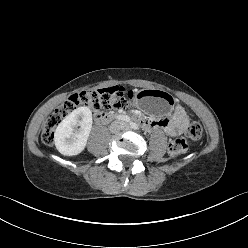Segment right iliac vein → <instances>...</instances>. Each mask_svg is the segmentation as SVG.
Returning <instances> with one entry per match:
<instances>
[{"label":"right iliac vein","instance_id":"right-iliac-vein-1","mask_svg":"<svg viewBox=\"0 0 248 248\" xmlns=\"http://www.w3.org/2000/svg\"><path fill=\"white\" fill-rule=\"evenodd\" d=\"M117 129V126L114 125L112 128H111V131H115Z\"/></svg>","mask_w":248,"mask_h":248}]
</instances>
